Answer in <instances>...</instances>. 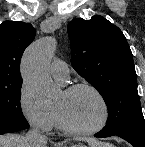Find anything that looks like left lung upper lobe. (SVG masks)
<instances>
[{"label":"left lung upper lobe","instance_id":"left-lung-upper-lobe-1","mask_svg":"<svg viewBox=\"0 0 145 147\" xmlns=\"http://www.w3.org/2000/svg\"><path fill=\"white\" fill-rule=\"evenodd\" d=\"M71 64L93 85L108 108L107 134H145L132 52L122 31L101 16L68 24Z\"/></svg>","mask_w":145,"mask_h":147}]
</instances>
